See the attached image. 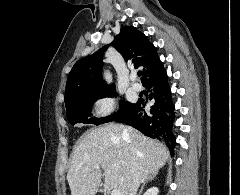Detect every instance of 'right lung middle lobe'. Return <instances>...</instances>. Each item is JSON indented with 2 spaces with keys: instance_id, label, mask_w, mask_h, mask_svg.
Wrapping results in <instances>:
<instances>
[{
  "instance_id": "dd1d6c3e",
  "label": "right lung middle lobe",
  "mask_w": 240,
  "mask_h": 195,
  "mask_svg": "<svg viewBox=\"0 0 240 195\" xmlns=\"http://www.w3.org/2000/svg\"><path fill=\"white\" fill-rule=\"evenodd\" d=\"M116 96V93H112L105 96L99 97H85L79 98L66 105L67 119L71 124L75 123H85V124H102L106 122L113 121L118 116L131 110L136 103H130L126 101H121L119 106V111L112 114L111 116L105 118H95L91 117V108L96 100L103 97Z\"/></svg>"
}]
</instances>
